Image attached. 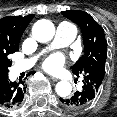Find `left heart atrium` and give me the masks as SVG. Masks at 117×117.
Listing matches in <instances>:
<instances>
[{
	"instance_id": "39dd6f15",
	"label": "left heart atrium",
	"mask_w": 117,
	"mask_h": 117,
	"mask_svg": "<svg viewBox=\"0 0 117 117\" xmlns=\"http://www.w3.org/2000/svg\"><path fill=\"white\" fill-rule=\"evenodd\" d=\"M65 62L66 59L62 54L53 53L43 60L42 67L48 72H56L64 66Z\"/></svg>"
}]
</instances>
